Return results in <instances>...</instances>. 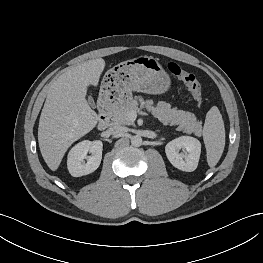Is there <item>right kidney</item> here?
<instances>
[{
  "mask_svg": "<svg viewBox=\"0 0 263 263\" xmlns=\"http://www.w3.org/2000/svg\"><path fill=\"white\" fill-rule=\"evenodd\" d=\"M102 149L103 144L100 140H84L76 144L68 154L67 166L70 174L80 177L94 172L101 163ZM88 152L91 156H87Z\"/></svg>",
  "mask_w": 263,
  "mask_h": 263,
  "instance_id": "obj_1",
  "label": "right kidney"
}]
</instances>
